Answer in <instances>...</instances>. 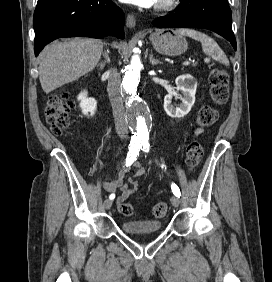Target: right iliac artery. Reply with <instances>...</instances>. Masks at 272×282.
Instances as JSON below:
<instances>
[{
	"mask_svg": "<svg viewBox=\"0 0 272 282\" xmlns=\"http://www.w3.org/2000/svg\"><path fill=\"white\" fill-rule=\"evenodd\" d=\"M140 148H141L140 142L132 141L130 143L129 152L126 158V166H130L134 162V160H136V157L139 154ZM109 198L113 200L115 198V194H111Z\"/></svg>",
	"mask_w": 272,
	"mask_h": 282,
	"instance_id": "right-iliac-artery-1",
	"label": "right iliac artery"
}]
</instances>
